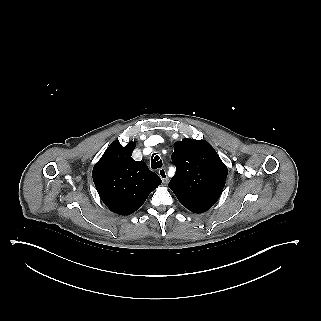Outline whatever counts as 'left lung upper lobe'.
Instances as JSON below:
<instances>
[{
	"instance_id": "1",
	"label": "left lung upper lobe",
	"mask_w": 321,
	"mask_h": 321,
	"mask_svg": "<svg viewBox=\"0 0 321 321\" xmlns=\"http://www.w3.org/2000/svg\"><path fill=\"white\" fill-rule=\"evenodd\" d=\"M172 160L177 171L169 188L176 196L222 192L227 167L207 141L186 138L176 142Z\"/></svg>"
}]
</instances>
